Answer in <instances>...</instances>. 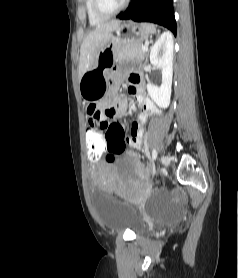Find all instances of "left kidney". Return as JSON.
I'll use <instances>...</instances> for the list:
<instances>
[{
  "mask_svg": "<svg viewBox=\"0 0 238 278\" xmlns=\"http://www.w3.org/2000/svg\"><path fill=\"white\" fill-rule=\"evenodd\" d=\"M174 42L170 33H163L155 42L150 51V62L162 71L160 87L148 83L147 91L151 99L160 107L167 108L170 104L173 76Z\"/></svg>",
  "mask_w": 238,
  "mask_h": 278,
  "instance_id": "left-kidney-1",
  "label": "left kidney"
}]
</instances>
